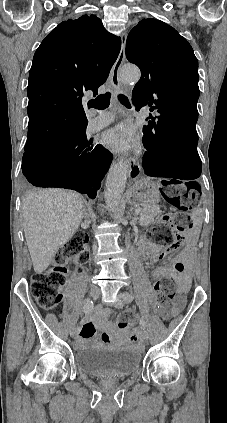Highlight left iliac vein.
I'll return each instance as SVG.
<instances>
[{"instance_id": "1", "label": "left iliac vein", "mask_w": 227, "mask_h": 423, "mask_svg": "<svg viewBox=\"0 0 227 423\" xmlns=\"http://www.w3.org/2000/svg\"><path fill=\"white\" fill-rule=\"evenodd\" d=\"M123 296H124V293L119 294V299H120V301H119V302H117V303H115V306H116L117 308H122V307H123V304H124ZM142 338H143L145 341H147V340H148L149 335H148V332H147V331H144V332L142 333Z\"/></svg>"}]
</instances>
